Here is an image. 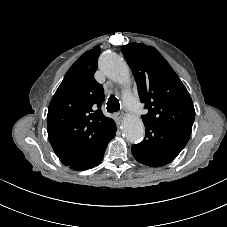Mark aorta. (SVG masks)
<instances>
[{
    "label": "aorta",
    "mask_w": 227,
    "mask_h": 227,
    "mask_svg": "<svg viewBox=\"0 0 227 227\" xmlns=\"http://www.w3.org/2000/svg\"><path fill=\"white\" fill-rule=\"evenodd\" d=\"M100 70L116 82H125L130 73L126 62L114 52L106 51L99 58ZM124 137L130 142H137L144 136L145 128L141 118L128 115L122 123Z\"/></svg>",
    "instance_id": "aorta-1"
}]
</instances>
